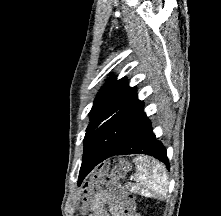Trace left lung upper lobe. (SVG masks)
<instances>
[{
	"instance_id": "obj_1",
	"label": "left lung upper lobe",
	"mask_w": 221,
	"mask_h": 216,
	"mask_svg": "<svg viewBox=\"0 0 221 216\" xmlns=\"http://www.w3.org/2000/svg\"><path fill=\"white\" fill-rule=\"evenodd\" d=\"M147 120L136 87L127 80L109 78L98 93L90 111V123L84 138V152L104 145L120 150Z\"/></svg>"
}]
</instances>
